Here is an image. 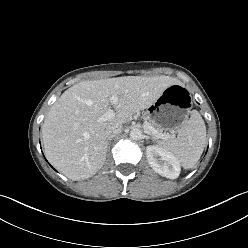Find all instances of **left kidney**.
<instances>
[{
  "label": "left kidney",
  "instance_id": "obj_1",
  "mask_svg": "<svg viewBox=\"0 0 248 248\" xmlns=\"http://www.w3.org/2000/svg\"><path fill=\"white\" fill-rule=\"evenodd\" d=\"M147 160L151 168L169 179H176L180 174V164L171 153L156 145L147 146Z\"/></svg>",
  "mask_w": 248,
  "mask_h": 248
}]
</instances>
